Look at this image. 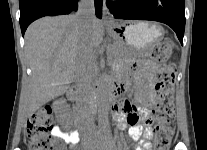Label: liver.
I'll return each mask as SVG.
<instances>
[{"mask_svg":"<svg viewBox=\"0 0 207 150\" xmlns=\"http://www.w3.org/2000/svg\"><path fill=\"white\" fill-rule=\"evenodd\" d=\"M83 34L76 15L44 17L28 27L25 52L32 73L21 97L25 118L64 94L77 79ZM88 37L94 49L102 43L104 27L100 20H93Z\"/></svg>","mask_w":207,"mask_h":150,"instance_id":"6515ba94","label":"liver"}]
</instances>
